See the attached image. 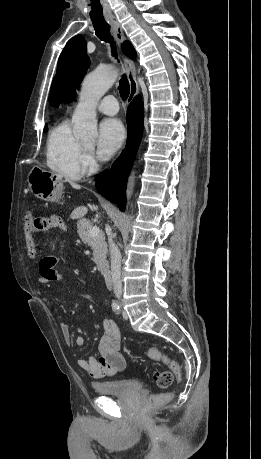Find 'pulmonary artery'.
<instances>
[{
  "instance_id": "pulmonary-artery-1",
  "label": "pulmonary artery",
  "mask_w": 261,
  "mask_h": 459,
  "mask_svg": "<svg viewBox=\"0 0 261 459\" xmlns=\"http://www.w3.org/2000/svg\"><path fill=\"white\" fill-rule=\"evenodd\" d=\"M97 110L106 115H115L119 110V105L117 99L108 95L105 96L97 105Z\"/></svg>"
}]
</instances>
